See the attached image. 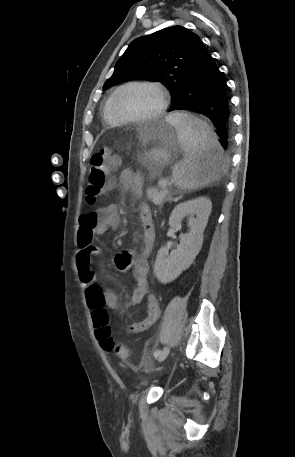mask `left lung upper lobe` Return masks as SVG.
<instances>
[{
	"label": "left lung upper lobe",
	"mask_w": 295,
	"mask_h": 457,
	"mask_svg": "<svg viewBox=\"0 0 295 457\" xmlns=\"http://www.w3.org/2000/svg\"><path fill=\"white\" fill-rule=\"evenodd\" d=\"M203 42L182 26L168 27L132 41L115 64L103 90L130 80L160 82L174 100L185 82L186 70Z\"/></svg>",
	"instance_id": "1"
}]
</instances>
